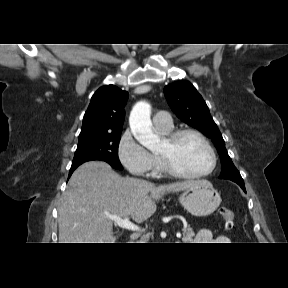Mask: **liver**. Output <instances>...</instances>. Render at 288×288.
<instances>
[{
  "instance_id": "1",
  "label": "liver",
  "mask_w": 288,
  "mask_h": 288,
  "mask_svg": "<svg viewBox=\"0 0 288 288\" xmlns=\"http://www.w3.org/2000/svg\"><path fill=\"white\" fill-rule=\"evenodd\" d=\"M206 181L159 185L121 177L107 163L80 165L69 179L58 207L59 243H114L113 220L130 216L142 223L156 211L166 193L187 190Z\"/></svg>"
}]
</instances>
